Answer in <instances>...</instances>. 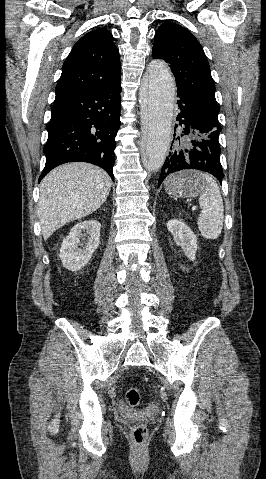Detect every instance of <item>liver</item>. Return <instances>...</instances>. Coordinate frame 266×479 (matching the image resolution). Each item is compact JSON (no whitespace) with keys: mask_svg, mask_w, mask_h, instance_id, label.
Here are the masks:
<instances>
[{"mask_svg":"<svg viewBox=\"0 0 266 479\" xmlns=\"http://www.w3.org/2000/svg\"><path fill=\"white\" fill-rule=\"evenodd\" d=\"M111 184L103 169L89 163H69L49 172L40 184L38 202L44 240L65 224L100 208Z\"/></svg>","mask_w":266,"mask_h":479,"instance_id":"liver-1","label":"liver"}]
</instances>
